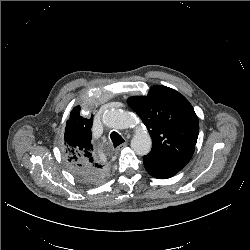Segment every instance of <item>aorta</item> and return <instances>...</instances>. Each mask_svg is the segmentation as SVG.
I'll return each instance as SVG.
<instances>
[{
    "mask_svg": "<svg viewBox=\"0 0 250 250\" xmlns=\"http://www.w3.org/2000/svg\"><path fill=\"white\" fill-rule=\"evenodd\" d=\"M103 122L106 126L113 129H126L136 123L134 115L121 110H108L103 116ZM152 141L149 133L142 129L136 132L131 140V148L138 155H146L150 152Z\"/></svg>",
    "mask_w": 250,
    "mask_h": 250,
    "instance_id": "aorta-1",
    "label": "aorta"
}]
</instances>
